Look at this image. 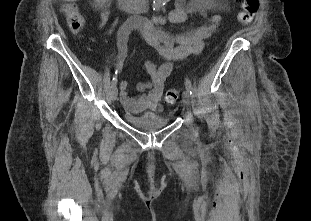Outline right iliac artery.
I'll list each match as a JSON object with an SVG mask.
<instances>
[{
	"mask_svg": "<svg viewBox=\"0 0 311 221\" xmlns=\"http://www.w3.org/2000/svg\"><path fill=\"white\" fill-rule=\"evenodd\" d=\"M117 73H118V70L115 72V75L113 76V79H112V86H115L116 83H117Z\"/></svg>",
	"mask_w": 311,
	"mask_h": 221,
	"instance_id": "right-iliac-artery-1",
	"label": "right iliac artery"
}]
</instances>
